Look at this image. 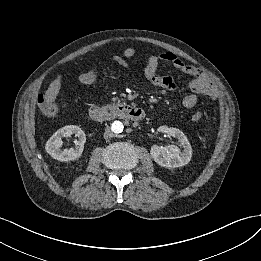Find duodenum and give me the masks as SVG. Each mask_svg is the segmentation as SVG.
I'll list each match as a JSON object with an SVG mask.
<instances>
[{"label": "duodenum", "instance_id": "obj_1", "mask_svg": "<svg viewBox=\"0 0 261 261\" xmlns=\"http://www.w3.org/2000/svg\"><path fill=\"white\" fill-rule=\"evenodd\" d=\"M90 116L96 121H106L121 118L138 122L143 119L144 113L139 108L130 104H121L117 107L111 106L104 108L93 106L90 109Z\"/></svg>", "mask_w": 261, "mask_h": 261}]
</instances>
